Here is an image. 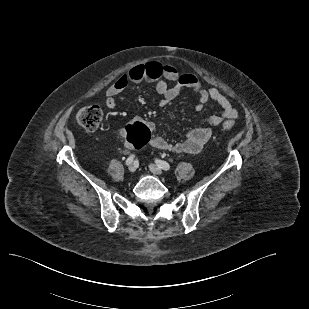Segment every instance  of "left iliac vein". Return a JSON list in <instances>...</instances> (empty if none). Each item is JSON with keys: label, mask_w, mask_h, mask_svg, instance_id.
I'll list each match as a JSON object with an SVG mask.
<instances>
[{"label": "left iliac vein", "mask_w": 309, "mask_h": 309, "mask_svg": "<svg viewBox=\"0 0 309 309\" xmlns=\"http://www.w3.org/2000/svg\"><path fill=\"white\" fill-rule=\"evenodd\" d=\"M149 169L155 175H162V173H163L162 169L155 164H150Z\"/></svg>", "instance_id": "4c4485c4"}]
</instances>
